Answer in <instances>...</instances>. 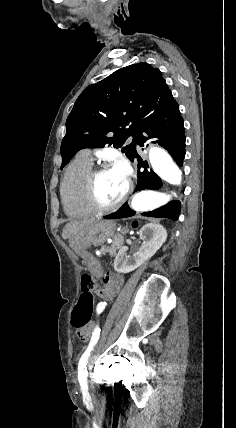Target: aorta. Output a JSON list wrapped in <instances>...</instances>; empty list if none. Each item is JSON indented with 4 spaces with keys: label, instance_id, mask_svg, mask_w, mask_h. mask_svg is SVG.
I'll use <instances>...</instances> for the list:
<instances>
[{
    "label": "aorta",
    "instance_id": "obj_1",
    "mask_svg": "<svg viewBox=\"0 0 236 428\" xmlns=\"http://www.w3.org/2000/svg\"><path fill=\"white\" fill-rule=\"evenodd\" d=\"M149 160L153 171L161 179L174 185L181 183L182 172L164 149L151 147ZM170 199L171 196L164 193L141 191L134 195L131 207L137 212H150L164 206Z\"/></svg>",
    "mask_w": 236,
    "mask_h": 428
}]
</instances>
